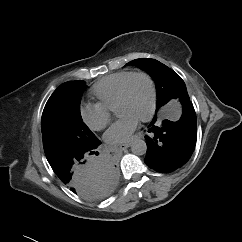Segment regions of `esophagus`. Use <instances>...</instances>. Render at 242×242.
I'll return each instance as SVG.
<instances>
[{
  "label": "esophagus",
  "mask_w": 242,
  "mask_h": 242,
  "mask_svg": "<svg viewBox=\"0 0 242 242\" xmlns=\"http://www.w3.org/2000/svg\"><path fill=\"white\" fill-rule=\"evenodd\" d=\"M131 143L128 142V143H123L121 144L119 147L122 149V150H125L127 149L128 147H130Z\"/></svg>",
  "instance_id": "1"
}]
</instances>
